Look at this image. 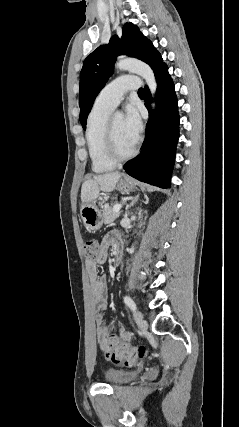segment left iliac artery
Instances as JSON below:
<instances>
[{
  "label": "left iliac artery",
  "instance_id": "44dca946",
  "mask_svg": "<svg viewBox=\"0 0 239 427\" xmlns=\"http://www.w3.org/2000/svg\"><path fill=\"white\" fill-rule=\"evenodd\" d=\"M124 302H125V304L132 310V311H135L136 310V304H135V302L131 299V297H129V296H125L124 297Z\"/></svg>",
  "mask_w": 239,
  "mask_h": 427
}]
</instances>
